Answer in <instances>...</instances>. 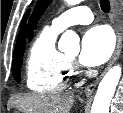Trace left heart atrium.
<instances>
[{"label":"left heart atrium","instance_id":"obj_1","mask_svg":"<svg viewBox=\"0 0 123 113\" xmlns=\"http://www.w3.org/2000/svg\"><path fill=\"white\" fill-rule=\"evenodd\" d=\"M114 39L105 26H96L86 31L82 39L80 62L88 67L103 64L111 56Z\"/></svg>","mask_w":123,"mask_h":113}]
</instances>
